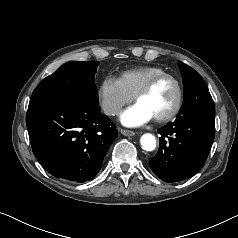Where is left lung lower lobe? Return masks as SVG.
<instances>
[{"label": "left lung lower lobe", "instance_id": "obj_1", "mask_svg": "<svg viewBox=\"0 0 238 238\" xmlns=\"http://www.w3.org/2000/svg\"><path fill=\"white\" fill-rule=\"evenodd\" d=\"M158 133L160 147L149 160L150 168L165 182L182 181L205 164L214 140V116L176 118Z\"/></svg>", "mask_w": 238, "mask_h": 238}]
</instances>
